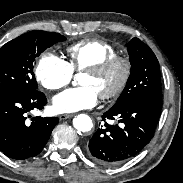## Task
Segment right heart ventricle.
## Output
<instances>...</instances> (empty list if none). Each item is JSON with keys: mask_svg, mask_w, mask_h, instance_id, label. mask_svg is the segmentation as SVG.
<instances>
[{"mask_svg": "<svg viewBox=\"0 0 183 183\" xmlns=\"http://www.w3.org/2000/svg\"><path fill=\"white\" fill-rule=\"evenodd\" d=\"M67 64L72 72L85 70L107 58L117 55V49L99 39H87L70 45L67 50Z\"/></svg>", "mask_w": 183, "mask_h": 183, "instance_id": "1", "label": "right heart ventricle"}]
</instances>
